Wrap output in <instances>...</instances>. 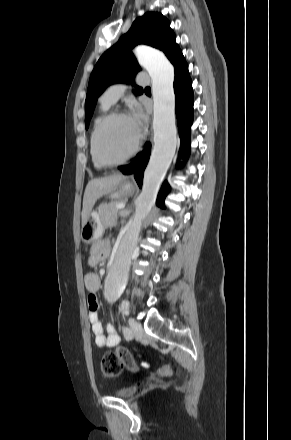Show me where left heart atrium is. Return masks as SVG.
Wrapping results in <instances>:
<instances>
[{
    "label": "left heart atrium",
    "mask_w": 291,
    "mask_h": 440,
    "mask_svg": "<svg viewBox=\"0 0 291 440\" xmlns=\"http://www.w3.org/2000/svg\"><path fill=\"white\" fill-rule=\"evenodd\" d=\"M129 120L134 130L139 135L144 125V116L142 112L139 109H135L130 115Z\"/></svg>",
    "instance_id": "left-heart-atrium-1"
}]
</instances>
